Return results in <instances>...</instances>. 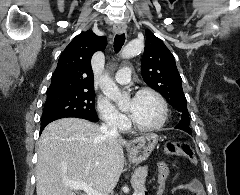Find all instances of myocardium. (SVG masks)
Wrapping results in <instances>:
<instances>
[{"mask_svg":"<svg viewBox=\"0 0 240 195\" xmlns=\"http://www.w3.org/2000/svg\"><path fill=\"white\" fill-rule=\"evenodd\" d=\"M143 94H151L158 100L161 108V114H160L159 120L156 123L149 126H140L136 124L128 114L125 116L126 127L140 133H149V132L157 131L165 124L167 120L168 107H167L166 100L158 91L152 88H147V87L138 90L135 94V97L141 96Z\"/></svg>","mask_w":240,"mask_h":195,"instance_id":"1","label":"myocardium"}]
</instances>
